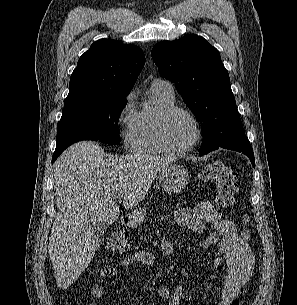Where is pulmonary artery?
Segmentation results:
<instances>
[{"mask_svg":"<svg viewBox=\"0 0 297 305\" xmlns=\"http://www.w3.org/2000/svg\"><path fill=\"white\" fill-rule=\"evenodd\" d=\"M151 88L160 90L169 96H174V87L167 80L155 79L151 84Z\"/></svg>","mask_w":297,"mask_h":305,"instance_id":"1","label":"pulmonary artery"}]
</instances>
